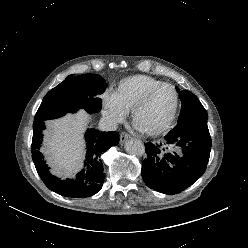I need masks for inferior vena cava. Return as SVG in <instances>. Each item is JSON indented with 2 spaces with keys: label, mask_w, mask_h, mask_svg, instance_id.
<instances>
[{
  "label": "inferior vena cava",
  "mask_w": 248,
  "mask_h": 248,
  "mask_svg": "<svg viewBox=\"0 0 248 248\" xmlns=\"http://www.w3.org/2000/svg\"><path fill=\"white\" fill-rule=\"evenodd\" d=\"M99 129L102 131H115L117 129V123L113 119L103 117L99 122Z\"/></svg>",
  "instance_id": "602c4592"
}]
</instances>
